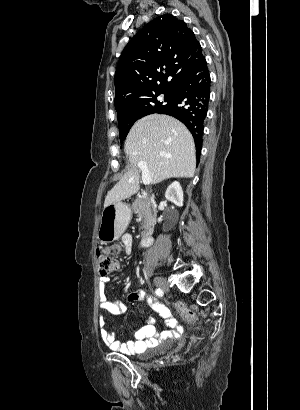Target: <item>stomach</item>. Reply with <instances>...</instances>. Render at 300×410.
Returning <instances> with one entry per match:
<instances>
[{"mask_svg":"<svg viewBox=\"0 0 300 410\" xmlns=\"http://www.w3.org/2000/svg\"><path fill=\"white\" fill-rule=\"evenodd\" d=\"M130 219L131 209L126 203L115 202L104 207L98 239L103 243L117 240L127 228Z\"/></svg>","mask_w":300,"mask_h":410,"instance_id":"stomach-1","label":"stomach"}]
</instances>
